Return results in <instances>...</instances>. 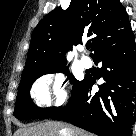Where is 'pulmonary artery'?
I'll return each instance as SVG.
<instances>
[{
	"label": "pulmonary artery",
	"instance_id": "1",
	"mask_svg": "<svg viewBox=\"0 0 136 136\" xmlns=\"http://www.w3.org/2000/svg\"><path fill=\"white\" fill-rule=\"evenodd\" d=\"M80 62H81V65H82L84 68H89V67H91V65H92L91 59H90L89 57H87V56L81 57Z\"/></svg>",
	"mask_w": 136,
	"mask_h": 136
}]
</instances>
